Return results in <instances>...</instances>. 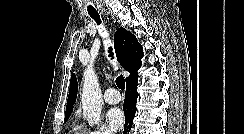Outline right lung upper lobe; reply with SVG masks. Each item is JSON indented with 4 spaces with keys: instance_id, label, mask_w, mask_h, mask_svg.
I'll list each match as a JSON object with an SVG mask.
<instances>
[{
    "instance_id": "cb5924a9",
    "label": "right lung upper lobe",
    "mask_w": 244,
    "mask_h": 134,
    "mask_svg": "<svg viewBox=\"0 0 244 134\" xmlns=\"http://www.w3.org/2000/svg\"><path fill=\"white\" fill-rule=\"evenodd\" d=\"M114 47L120 65L130 73L126 82L132 78L138 77L137 71L141 66L143 51L142 46L138 43L136 37L124 28H119L115 33ZM77 91V79L75 74H72L65 115L71 114L73 105L76 101Z\"/></svg>"
}]
</instances>
